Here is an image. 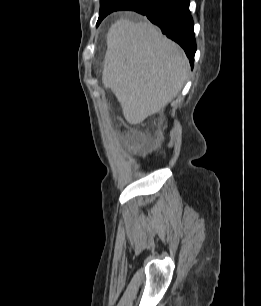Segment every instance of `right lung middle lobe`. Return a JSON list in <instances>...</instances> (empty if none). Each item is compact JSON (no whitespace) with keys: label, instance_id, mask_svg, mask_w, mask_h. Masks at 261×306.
<instances>
[{"label":"right lung middle lobe","instance_id":"1","mask_svg":"<svg viewBox=\"0 0 261 306\" xmlns=\"http://www.w3.org/2000/svg\"><path fill=\"white\" fill-rule=\"evenodd\" d=\"M129 0H108L101 2L99 18L123 6Z\"/></svg>","mask_w":261,"mask_h":306}]
</instances>
